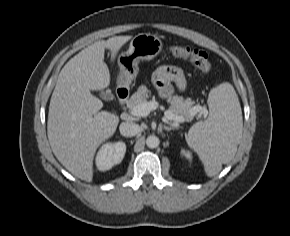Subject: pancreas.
<instances>
[{"label":"pancreas","mask_w":290,"mask_h":236,"mask_svg":"<svg viewBox=\"0 0 290 236\" xmlns=\"http://www.w3.org/2000/svg\"><path fill=\"white\" fill-rule=\"evenodd\" d=\"M150 95L151 93L146 86H140L137 92L129 99L127 107L132 110L137 105L148 102L147 100ZM169 103V110L177 116H183L186 121L193 120L194 116L197 114V112L193 110L196 106H194L195 102L191 98L184 99L182 96H173L169 100Z\"/></svg>","instance_id":"pancreas-1"}]
</instances>
